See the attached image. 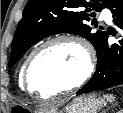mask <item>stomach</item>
<instances>
[{
  "label": "stomach",
  "instance_id": "1",
  "mask_svg": "<svg viewBox=\"0 0 123 113\" xmlns=\"http://www.w3.org/2000/svg\"><path fill=\"white\" fill-rule=\"evenodd\" d=\"M104 103V98L94 94H89L74 98L62 109L50 107L41 110L39 113H97ZM14 106H20L19 109L24 111L28 110L20 104H15Z\"/></svg>",
  "mask_w": 123,
  "mask_h": 113
}]
</instances>
